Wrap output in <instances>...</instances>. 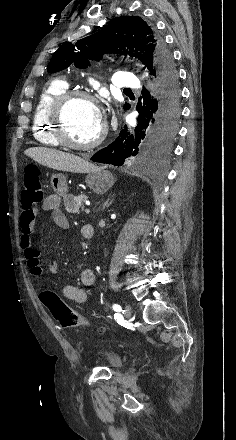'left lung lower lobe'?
I'll return each instance as SVG.
<instances>
[{"label":"left lung lower lobe","instance_id":"1","mask_svg":"<svg viewBox=\"0 0 236 440\" xmlns=\"http://www.w3.org/2000/svg\"><path fill=\"white\" fill-rule=\"evenodd\" d=\"M147 70L152 91H142L138 100L137 126L130 131L125 126L113 143L91 157L92 161L120 166L136 156H157L167 149L180 117L178 75L173 60L148 65Z\"/></svg>","mask_w":236,"mask_h":440}]
</instances>
